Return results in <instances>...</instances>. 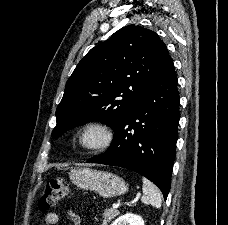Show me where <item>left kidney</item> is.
I'll return each instance as SVG.
<instances>
[{"label":"left kidney","instance_id":"1","mask_svg":"<svg viewBox=\"0 0 228 225\" xmlns=\"http://www.w3.org/2000/svg\"><path fill=\"white\" fill-rule=\"evenodd\" d=\"M112 225H144V221L139 215L126 213V215H121L116 221H113Z\"/></svg>","mask_w":228,"mask_h":225}]
</instances>
